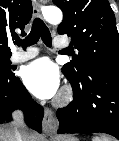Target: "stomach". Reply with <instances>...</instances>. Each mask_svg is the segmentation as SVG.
<instances>
[{
    "mask_svg": "<svg viewBox=\"0 0 119 141\" xmlns=\"http://www.w3.org/2000/svg\"><path fill=\"white\" fill-rule=\"evenodd\" d=\"M62 141H78V139L72 136H68V137H64Z\"/></svg>",
    "mask_w": 119,
    "mask_h": 141,
    "instance_id": "0dacf381",
    "label": "stomach"
}]
</instances>
